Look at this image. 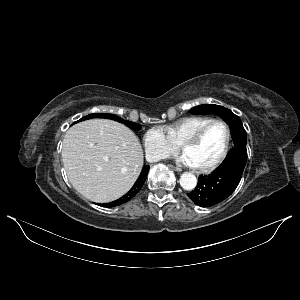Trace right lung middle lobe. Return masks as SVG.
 Returning a JSON list of instances; mask_svg holds the SVG:
<instances>
[{
  "label": "right lung middle lobe",
  "instance_id": "right-lung-middle-lobe-1",
  "mask_svg": "<svg viewBox=\"0 0 300 300\" xmlns=\"http://www.w3.org/2000/svg\"><path fill=\"white\" fill-rule=\"evenodd\" d=\"M91 118H108V119H112V120H115V121H118V122H121V123H125L128 127L132 128V129H135V130L141 128V126L139 124L123 120V119H121V118H119V117H117L116 115H113V114H105V113L90 114V115H87L85 117H82L77 122L82 121V120H86V119H91Z\"/></svg>",
  "mask_w": 300,
  "mask_h": 300
}]
</instances>
